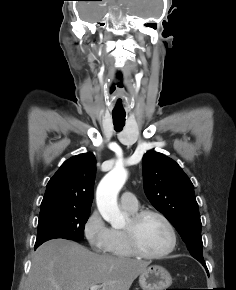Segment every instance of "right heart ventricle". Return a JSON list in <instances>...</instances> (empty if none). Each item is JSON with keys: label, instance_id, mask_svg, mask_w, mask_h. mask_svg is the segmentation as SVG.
<instances>
[{"label": "right heart ventricle", "instance_id": "e07e8e85", "mask_svg": "<svg viewBox=\"0 0 236 290\" xmlns=\"http://www.w3.org/2000/svg\"><path fill=\"white\" fill-rule=\"evenodd\" d=\"M130 214L136 212V210H130L124 208ZM107 252L115 257L130 258L133 256L127 244L124 231L119 229H111V242L109 244Z\"/></svg>", "mask_w": 236, "mask_h": 290}]
</instances>
